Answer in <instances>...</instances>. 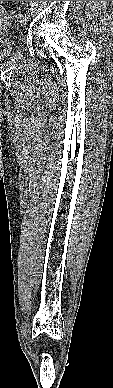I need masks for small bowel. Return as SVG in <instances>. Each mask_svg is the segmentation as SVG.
Returning <instances> with one entry per match:
<instances>
[{"mask_svg": "<svg viewBox=\"0 0 113 388\" xmlns=\"http://www.w3.org/2000/svg\"><path fill=\"white\" fill-rule=\"evenodd\" d=\"M1 15H5V12L1 7V1H0V19H1Z\"/></svg>", "mask_w": 113, "mask_h": 388, "instance_id": "c3829d8e", "label": "small bowel"}]
</instances>
